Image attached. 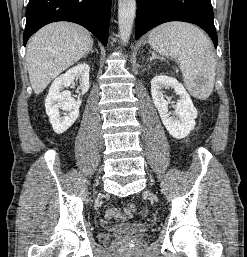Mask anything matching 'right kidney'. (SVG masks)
Here are the masks:
<instances>
[{
	"label": "right kidney",
	"mask_w": 247,
	"mask_h": 257,
	"mask_svg": "<svg viewBox=\"0 0 247 257\" xmlns=\"http://www.w3.org/2000/svg\"><path fill=\"white\" fill-rule=\"evenodd\" d=\"M89 71L88 64H79L57 77L51 84L45 100V108L52 128L57 134L65 132L73 125L79 116L82 103L80 98L77 101L73 99L70 91H62L63 87H69L75 79H79L81 93L85 94L89 89ZM60 109L67 111L68 114L61 117Z\"/></svg>",
	"instance_id": "right-kidney-1"
}]
</instances>
